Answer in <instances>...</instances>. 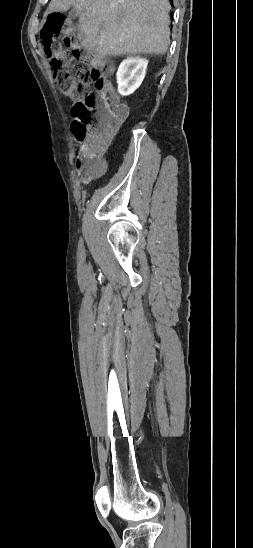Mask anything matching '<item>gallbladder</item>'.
Returning a JSON list of instances; mask_svg holds the SVG:
<instances>
[{"instance_id": "1", "label": "gallbladder", "mask_w": 253, "mask_h": 548, "mask_svg": "<svg viewBox=\"0 0 253 548\" xmlns=\"http://www.w3.org/2000/svg\"><path fill=\"white\" fill-rule=\"evenodd\" d=\"M69 17H72V18L77 17V12L74 8L71 9V11L69 12Z\"/></svg>"}]
</instances>
